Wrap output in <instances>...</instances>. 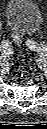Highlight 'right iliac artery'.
Masks as SVG:
<instances>
[{
    "mask_svg": "<svg viewBox=\"0 0 47 129\" xmlns=\"http://www.w3.org/2000/svg\"><path fill=\"white\" fill-rule=\"evenodd\" d=\"M2 44L3 45H9V42L4 40V41H2Z\"/></svg>",
    "mask_w": 47,
    "mask_h": 129,
    "instance_id": "obj_1",
    "label": "right iliac artery"
}]
</instances>
